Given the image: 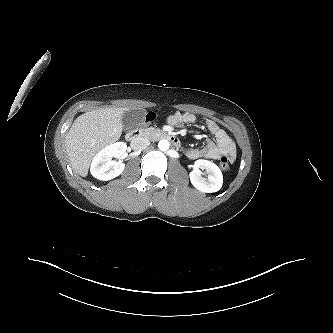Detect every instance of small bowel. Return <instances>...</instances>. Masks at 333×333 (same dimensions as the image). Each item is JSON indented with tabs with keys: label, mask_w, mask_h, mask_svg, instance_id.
<instances>
[{
	"label": "small bowel",
	"mask_w": 333,
	"mask_h": 333,
	"mask_svg": "<svg viewBox=\"0 0 333 333\" xmlns=\"http://www.w3.org/2000/svg\"><path fill=\"white\" fill-rule=\"evenodd\" d=\"M195 122V115L189 112H175L167 118V123L172 127L193 124ZM205 126L213 135L214 140L208 139L204 147L188 149L186 155L194 160L203 158L218 160L226 156L230 162H234L236 159L235 143L227 132L211 119L205 120Z\"/></svg>",
	"instance_id": "small-bowel-1"
}]
</instances>
